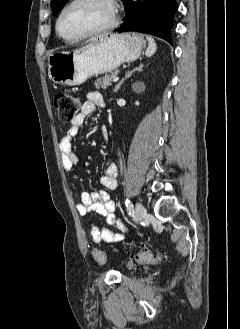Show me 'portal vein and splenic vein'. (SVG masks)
I'll return each instance as SVG.
<instances>
[{"label": "portal vein and splenic vein", "mask_w": 240, "mask_h": 329, "mask_svg": "<svg viewBox=\"0 0 240 329\" xmlns=\"http://www.w3.org/2000/svg\"><path fill=\"white\" fill-rule=\"evenodd\" d=\"M119 80V77H115L114 79H113V82H117Z\"/></svg>", "instance_id": "18ae733b"}]
</instances>
